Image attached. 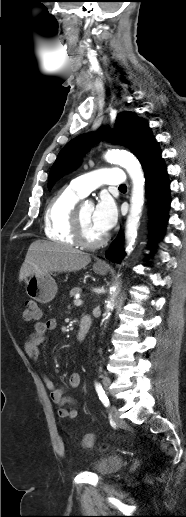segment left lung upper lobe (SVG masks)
Wrapping results in <instances>:
<instances>
[{
	"label": "left lung upper lobe",
	"mask_w": 186,
	"mask_h": 517,
	"mask_svg": "<svg viewBox=\"0 0 186 517\" xmlns=\"http://www.w3.org/2000/svg\"><path fill=\"white\" fill-rule=\"evenodd\" d=\"M109 136L114 143L130 148L138 159L156 142L151 136L147 122L136 118L134 113L126 111L117 115L114 130ZM92 139L91 134L81 135L64 146L51 167L48 179L49 190L58 178L78 166L81 161L80 155L90 146Z\"/></svg>",
	"instance_id": "5c2ea615"
}]
</instances>
